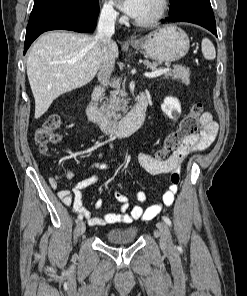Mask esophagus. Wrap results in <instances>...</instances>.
Masks as SVG:
<instances>
[{"label": "esophagus", "instance_id": "1", "mask_svg": "<svg viewBox=\"0 0 247 296\" xmlns=\"http://www.w3.org/2000/svg\"><path fill=\"white\" fill-rule=\"evenodd\" d=\"M134 41H135L134 38H130V39H129V42H131V43L134 42Z\"/></svg>", "mask_w": 247, "mask_h": 296}]
</instances>
